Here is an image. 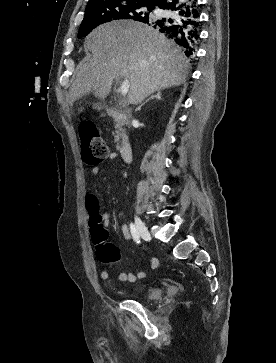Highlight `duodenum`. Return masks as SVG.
Returning <instances> with one entry per match:
<instances>
[{"label":"duodenum","mask_w":276,"mask_h":363,"mask_svg":"<svg viewBox=\"0 0 276 363\" xmlns=\"http://www.w3.org/2000/svg\"><path fill=\"white\" fill-rule=\"evenodd\" d=\"M106 113L109 117L118 120L122 123L127 122V113L119 108L107 107ZM120 156L123 162H129L132 158V145L127 137H125L121 144Z\"/></svg>","instance_id":"duodenum-1"}]
</instances>
